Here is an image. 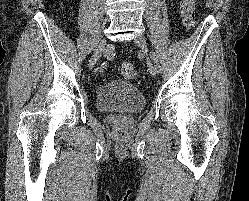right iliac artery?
I'll list each match as a JSON object with an SVG mask.
<instances>
[{"instance_id":"right-iliac-artery-1","label":"right iliac artery","mask_w":249,"mask_h":201,"mask_svg":"<svg viewBox=\"0 0 249 201\" xmlns=\"http://www.w3.org/2000/svg\"><path fill=\"white\" fill-rule=\"evenodd\" d=\"M107 64L104 62L102 65H101V70H103L104 68H106Z\"/></svg>"}]
</instances>
